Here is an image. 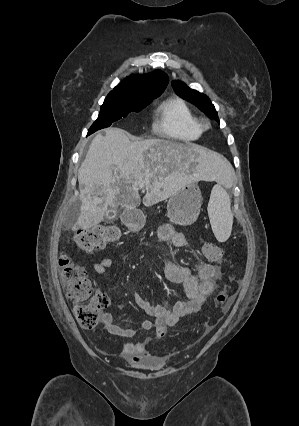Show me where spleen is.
<instances>
[{
    "instance_id": "1",
    "label": "spleen",
    "mask_w": 299,
    "mask_h": 426,
    "mask_svg": "<svg viewBox=\"0 0 299 426\" xmlns=\"http://www.w3.org/2000/svg\"><path fill=\"white\" fill-rule=\"evenodd\" d=\"M207 210L216 239L227 241L232 231L233 214L230 197L221 183L213 187Z\"/></svg>"
}]
</instances>
